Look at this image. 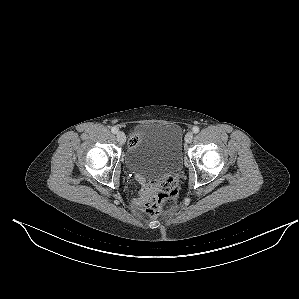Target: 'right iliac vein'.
<instances>
[{
	"label": "right iliac vein",
	"mask_w": 299,
	"mask_h": 299,
	"mask_svg": "<svg viewBox=\"0 0 299 299\" xmlns=\"http://www.w3.org/2000/svg\"><path fill=\"white\" fill-rule=\"evenodd\" d=\"M116 137H117L118 142L121 145L125 143L126 137H125V134L123 132H121V131L117 132Z\"/></svg>",
	"instance_id": "1"
}]
</instances>
